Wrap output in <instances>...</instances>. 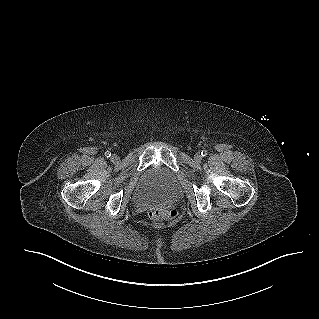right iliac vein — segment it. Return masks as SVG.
Segmentation results:
<instances>
[{
    "instance_id": "obj_1",
    "label": "right iliac vein",
    "mask_w": 319,
    "mask_h": 319,
    "mask_svg": "<svg viewBox=\"0 0 319 319\" xmlns=\"http://www.w3.org/2000/svg\"><path fill=\"white\" fill-rule=\"evenodd\" d=\"M119 159H120V158H119V156H118L117 154H113V155L111 156V161L114 162V163L118 162Z\"/></svg>"
}]
</instances>
